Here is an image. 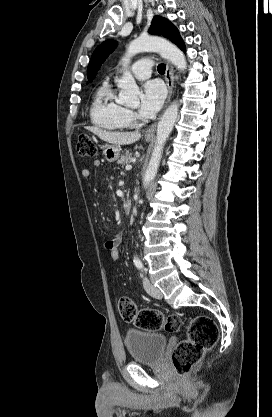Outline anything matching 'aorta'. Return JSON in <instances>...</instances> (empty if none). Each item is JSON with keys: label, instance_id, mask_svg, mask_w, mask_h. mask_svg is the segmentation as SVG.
<instances>
[{"label": "aorta", "instance_id": "obj_1", "mask_svg": "<svg viewBox=\"0 0 272 417\" xmlns=\"http://www.w3.org/2000/svg\"><path fill=\"white\" fill-rule=\"evenodd\" d=\"M145 51L159 52L163 58L168 59L180 71H184L187 67L183 52L169 41L156 36L138 37L130 42L127 51L122 58L124 71L122 78L118 81V87L121 89L119 93V103L121 104L127 106H137L139 104V87L127 67L130 59L134 55ZM178 111L179 104L177 102L171 103L158 123L155 145L143 177V186L145 188L152 182L157 174L163 148L173 129Z\"/></svg>", "mask_w": 272, "mask_h": 417}]
</instances>
